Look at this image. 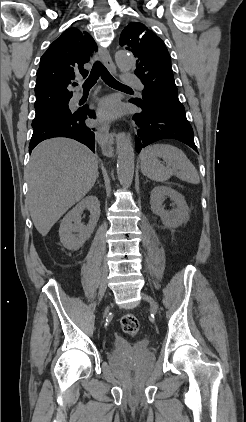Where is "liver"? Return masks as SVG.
<instances>
[{"label": "liver", "mask_w": 246, "mask_h": 422, "mask_svg": "<svg viewBox=\"0 0 246 422\" xmlns=\"http://www.w3.org/2000/svg\"><path fill=\"white\" fill-rule=\"evenodd\" d=\"M26 176L31 219L37 231L46 236L94 186L98 157L75 140L48 139L32 151Z\"/></svg>", "instance_id": "obj_1"}]
</instances>
